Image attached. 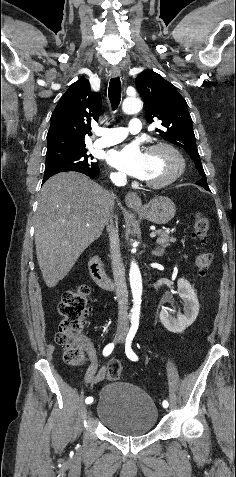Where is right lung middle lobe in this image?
<instances>
[{
	"instance_id": "right-lung-middle-lobe-1",
	"label": "right lung middle lobe",
	"mask_w": 236,
	"mask_h": 477,
	"mask_svg": "<svg viewBox=\"0 0 236 477\" xmlns=\"http://www.w3.org/2000/svg\"><path fill=\"white\" fill-rule=\"evenodd\" d=\"M92 159L91 155H87V149H82L72 155L46 162L44 176L65 171L94 173L99 167L96 162H92Z\"/></svg>"
}]
</instances>
